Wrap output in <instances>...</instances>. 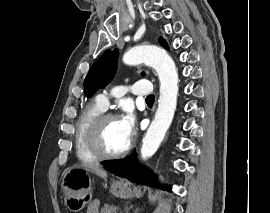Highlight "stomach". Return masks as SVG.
I'll return each instance as SVG.
<instances>
[{
	"instance_id": "obj_1",
	"label": "stomach",
	"mask_w": 270,
	"mask_h": 213,
	"mask_svg": "<svg viewBox=\"0 0 270 213\" xmlns=\"http://www.w3.org/2000/svg\"><path fill=\"white\" fill-rule=\"evenodd\" d=\"M110 192L120 198H129L133 191L125 180H113ZM64 204L73 212L82 210L92 196V179L89 171L69 168L64 171L62 179Z\"/></svg>"
}]
</instances>
